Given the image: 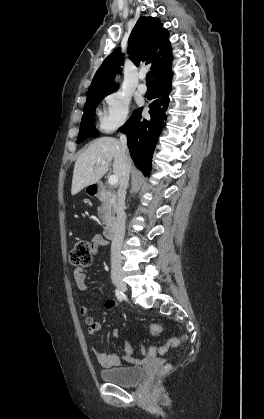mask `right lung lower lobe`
<instances>
[{
    "label": "right lung lower lobe",
    "instance_id": "1",
    "mask_svg": "<svg viewBox=\"0 0 264 419\" xmlns=\"http://www.w3.org/2000/svg\"><path fill=\"white\" fill-rule=\"evenodd\" d=\"M172 72L161 74L153 80L154 101L149 105V120L142 119V108L133 112L119 130L128 137V148L138 169L149 175L152 154L162 131L163 119L169 102Z\"/></svg>",
    "mask_w": 264,
    "mask_h": 419
}]
</instances>
